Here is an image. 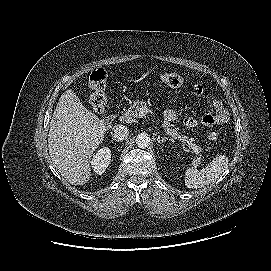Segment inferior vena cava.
Masks as SVG:
<instances>
[{
    "mask_svg": "<svg viewBox=\"0 0 271 271\" xmlns=\"http://www.w3.org/2000/svg\"><path fill=\"white\" fill-rule=\"evenodd\" d=\"M111 134L115 141L121 142L127 139L129 130L125 125L118 124L112 128Z\"/></svg>",
    "mask_w": 271,
    "mask_h": 271,
    "instance_id": "obj_1",
    "label": "inferior vena cava"
}]
</instances>
